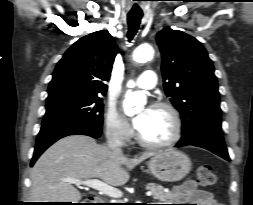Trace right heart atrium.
I'll list each match as a JSON object with an SVG mask.
<instances>
[{
	"label": "right heart atrium",
	"instance_id": "1",
	"mask_svg": "<svg viewBox=\"0 0 253 205\" xmlns=\"http://www.w3.org/2000/svg\"><path fill=\"white\" fill-rule=\"evenodd\" d=\"M104 129L110 139L122 144L126 143L132 135L127 119L112 107H109L104 114Z\"/></svg>",
	"mask_w": 253,
	"mask_h": 205
}]
</instances>
